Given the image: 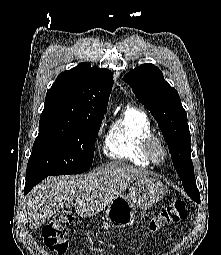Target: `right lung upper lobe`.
Wrapping results in <instances>:
<instances>
[{
	"label": "right lung upper lobe",
	"instance_id": "1",
	"mask_svg": "<svg viewBox=\"0 0 221 255\" xmlns=\"http://www.w3.org/2000/svg\"><path fill=\"white\" fill-rule=\"evenodd\" d=\"M112 85L110 70L80 63L58 75L46 94L41 117L88 119L106 111Z\"/></svg>",
	"mask_w": 221,
	"mask_h": 255
}]
</instances>
